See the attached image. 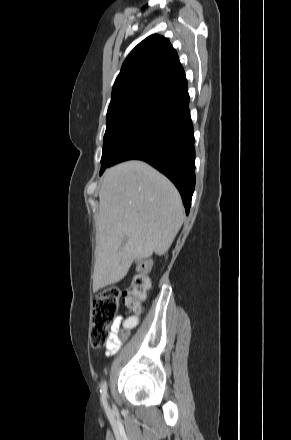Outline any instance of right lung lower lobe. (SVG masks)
<instances>
[{
	"label": "right lung lower lobe",
	"mask_w": 291,
	"mask_h": 440,
	"mask_svg": "<svg viewBox=\"0 0 291 440\" xmlns=\"http://www.w3.org/2000/svg\"><path fill=\"white\" fill-rule=\"evenodd\" d=\"M188 105L187 80L183 79L153 100L109 163V167L132 159L149 163L175 184L187 214L195 188L194 134Z\"/></svg>",
	"instance_id": "98d812e1"
}]
</instances>
